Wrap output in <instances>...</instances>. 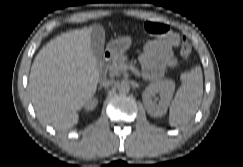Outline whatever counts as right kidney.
<instances>
[{"mask_svg":"<svg viewBox=\"0 0 243 167\" xmlns=\"http://www.w3.org/2000/svg\"><path fill=\"white\" fill-rule=\"evenodd\" d=\"M98 103V100L97 99H90L86 104H85V109L86 110H92L96 107Z\"/></svg>","mask_w":243,"mask_h":167,"instance_id":"ca27d5eb","label":"right kidney"}]
</instances>
